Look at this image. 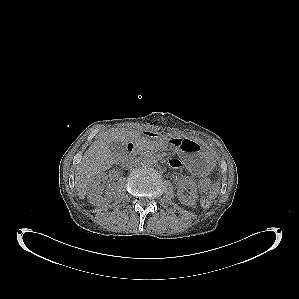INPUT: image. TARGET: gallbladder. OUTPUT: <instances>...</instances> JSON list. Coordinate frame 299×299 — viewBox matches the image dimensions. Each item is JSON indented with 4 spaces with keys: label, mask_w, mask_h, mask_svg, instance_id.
<instances>
[{
    "label": "gallbladder",
    "mask_w": 299,
    "mask_h": 299,
    "mask_svg": "<svg viewBox=\"0 0 299 299\" xmlns=\"http://www.w3.org/2000/svg\"><path fill=\"white\" fill-rule=\"evenodd\" d=\"M109 152L112 154L123 155L126 152L125 143L113 141L109 145Z\"/></svg>",
    "instance_id": "obj_1"
}]
</instances>
